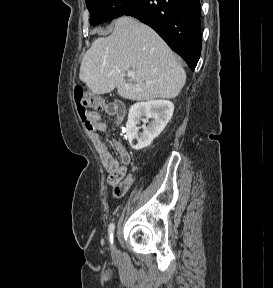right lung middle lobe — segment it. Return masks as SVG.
Listing matches in <instances>:
<instances>
[{
    "label": "right lung middle lobe",
    "instance_id": "right-lung-middle-lobe-1",
    "mask_svg": "<svg viewBox=\"0 0 273 288\" xmlns=\"http://www.w3.org/2000/svg\"><path fill=\"white\" fill-rule=\"evenodd\" d=\"M92 26L122 16L135 0H85Z\"/></svg>",
    "mask_w": 273,
    "mask_h": 288
}]
</instances>
